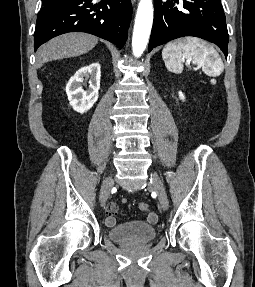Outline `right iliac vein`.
Here are the masks:
<instances>
[{
    "label": "right iliac vein",
    "mask_w": 255,
    "mask_h": 287,
    "mask_svg": "<svg viewBox=\"0 0 255 287\" xmlns=\"http://www.w3.org/2000/svg\"><path fill=\"white\" fill-rule=\"evenodd\" d=\"M114 184L112 177H108L104 180L100 191V203L104 205L109 197L110 190Z\"/></svg>",
    "instance_id": "obj_1"
}]
</instances>
